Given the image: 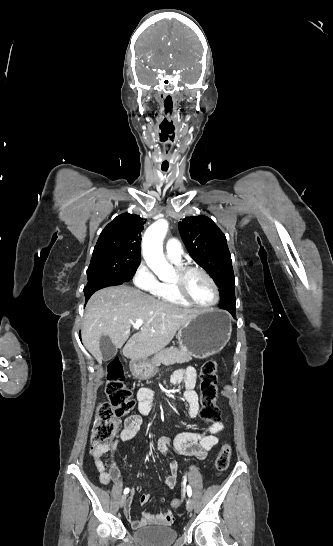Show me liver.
<instances>
[{"mask_svg": "<svg viewBox=\"0 0 333 546\" xmlns=\"http://www.w3.org/2000/svg\"><path fill=\"white\" fill-rule=\"evenodd\" d=\"M200 313L158 301L127 285L106 287L95 292L86 305L82 341L101 364L100 339L108 336L120 348L129 339L133 323L142 319L140 331L127 341L122 352L130 359H147L167 346L180 327Z\"/></svg>", "mask_w": 333, "mask_h": 546, "instance_id": "liver-1", "label": "liver"}]
</instances>
